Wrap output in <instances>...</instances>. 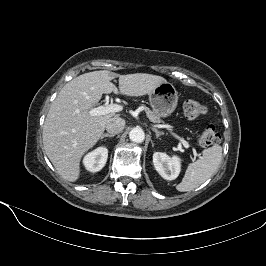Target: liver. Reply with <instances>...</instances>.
Masks as SVG:
<instances>
[{
    "instance_id": "6515ba94",
    "label": "liver",
    "mask_w": 266,
    "mask_h": 266,
    "mask_svg": "<svg viewBox=\"0 0 266 266\" xmlns=\"http://www.w3.org/2000/svg\"><path fill=\"white\" fill-rule=\"evenodd\" d=\"M116 77L119 89L111 82ZM164 82L166 79L157 75H119L107 70L85 73L68 82L51 104L42 134L45 153L58 173L75 182L80 176L82 156L101 138L106 123L116 116L89 114L103 94L143 96Z\"/></svg>"
}]
</instances>
